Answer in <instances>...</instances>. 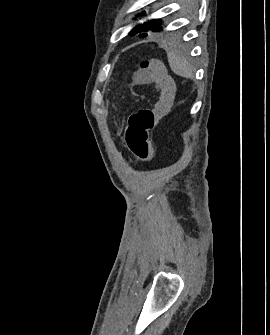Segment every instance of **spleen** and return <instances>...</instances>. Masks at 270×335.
Here are the masks:
<instances>
[{
	"label": "spleen",
	"instance_id": "spleen-1",
	"mask_svg": "<svg viewBox=\"0 0 270 335\" xmlns=\"http://www.w3.org/2000/svg\"><path fill=\"white\" fill-rule=\"evenodd\" d=\"M169 66L177 76H182V78H193V68L188 62V58L178 50V48H172L167 54Z\"/></svg>",
	"mask_w": 270,
	"mask_h": 335
}]
</instances>
